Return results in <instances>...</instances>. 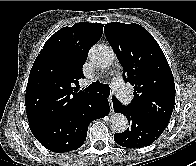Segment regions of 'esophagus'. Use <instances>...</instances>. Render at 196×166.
<instances>
[{"instance_id":"obj_1","label":"esophagus","mask_w":196,"mask_h":166,"mask_svg":"<svg viewBox=\"0 0 196 166\" xmlns=\"http://www.w3.org/2000/svg\"><path fill=\"white\" fill-rule=\"evenodd\" d=\"M108 101H109V104H110V111L113 113L114 110H113L112 96H110V97L108 98Z\"/></svg>"}]
</instances>
